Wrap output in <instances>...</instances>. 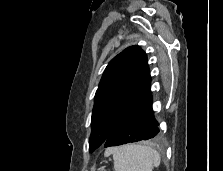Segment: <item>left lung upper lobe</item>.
I'll return each mask as SVG.
<instances>
[{
	"instance_id": "left-lung-upper-lobe-1",
	"label": "left lung upper lobe",
	"mask_w": 223,
	"mask_h": 171,
	"mask_svg": "<svg viewBox=\"0 0 223 171\" xmlns=\"http://www.w3.org/2000/svg\"><path fill=\"white\" fill-rule=\"evenodd\" d=\"M150 79L147 56L139 46L126 48L109 62L95 94L90 152L104 144Z\"/></svg>"
}]
</instances>
